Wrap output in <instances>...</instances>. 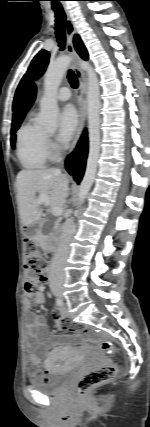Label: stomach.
Wrapping results in <instances>:
<instances>
[{
  "mask_svg": "<svg viewBox=\"0 0 150 427\" xmlns=\"http://www.w3.org/2000/svg\"><path fill=\"white\" fill-rule=\"evenodd\" d=\"M32 231H33L34 233H37V232H38V230H37V229H33Z\"/></svg>",
  "mask_w": 150,
  "mask_h": 427,
  "instance_id": "obj_1",
  "label": "stomach"
}]
</instances>
